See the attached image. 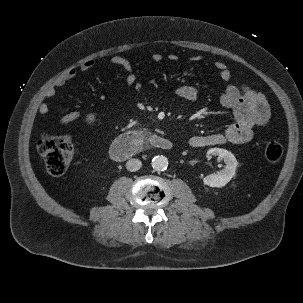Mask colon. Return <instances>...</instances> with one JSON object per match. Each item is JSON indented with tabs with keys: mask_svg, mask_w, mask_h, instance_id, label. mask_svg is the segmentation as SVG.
Instances as JSON below:
<instances>
[{
	"mask_svg": "<svg viewBox=\"0 0 303 303\" xmlns=\"http://www.w3.org/2000/svg\"><path fill=\"white\" fill-rule=\"evenodd\" d=\"M94 117V112H89L84 120L91 123ZM36 146L51 175L58 176L66 172L73 157V143L70 137L43 133ZM282 154L283 147L279 141L273 140L266 145L264 155L268 162H277Z\"/></svg>",
	"mask_w": 303,
	"mask_h": 303,
	"instance_id": "colon-1",
	"label": "colon"
}]
</instances>
